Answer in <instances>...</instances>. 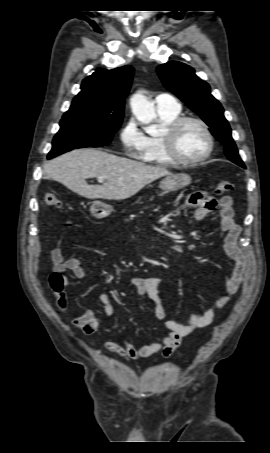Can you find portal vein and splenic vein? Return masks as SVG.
Listing matches in <instances>:
<instances>
[{"mask_svg":"<svg viewBox=\"0 0 270 453\" xmlns=\"http://www.w3.org/2000/svg\"><path fill=\"white\" fill-rule=\"evenodd\" d=\"M98 182L103 183L104 182V178L103 177H98Z\"/></svg>","mask_w":270,"mask_h":453,"instance_id":"18ae733b","label":"portal vein and splenic vein"}]
</instances>
